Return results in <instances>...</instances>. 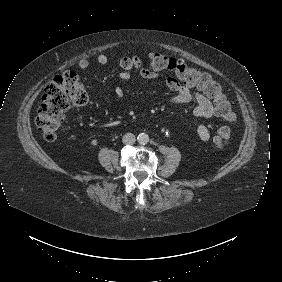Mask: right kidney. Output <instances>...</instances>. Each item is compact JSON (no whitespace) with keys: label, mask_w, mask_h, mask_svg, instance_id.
Returning <instances> with one entry per match:
<instances>
[{"label":"right kidney","mask_w":282,"mask_h":282,"mask_svg":"<svg viewBox=\"0 0 282 282\" xmlns=\"http://www.w3.org/2000/svg\"><path fill=\"white\" fill-rule=\"evenodd\" d=\"M99 141L96 137L92 138L90 143H89V149H94L98 146Z\"/></svg>","instance_id":"1"}]
</instances>
